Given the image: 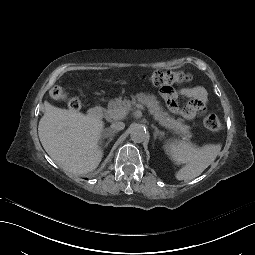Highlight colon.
<instances>
[{
	"label": "colon",
	"instance_id": "1",
	"mask_svg": "<svg viewBox=\"0 0 255 255\" xmlns=\"http://www.w3.org/2000/svg\"><path fill=\"white\" fill-rule=\"evenodd\" d=\"M153 85L167 90L173 84L187 83L192 80L190 73L183 71L156 70L146 77ZM51 97L56 101L66 102L68 107L77 111L81 108V101L77 97H69L67 91L61 86H54L50 90ZM204 127L208 131L216 132L222 128V122L216 114H208L203 120Z\"/></svg>",
	"mask_w": 255,
	"mask_h": 255
}]
</instances>
